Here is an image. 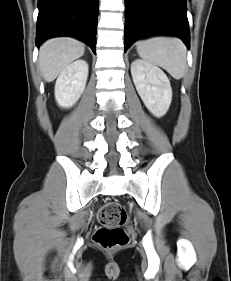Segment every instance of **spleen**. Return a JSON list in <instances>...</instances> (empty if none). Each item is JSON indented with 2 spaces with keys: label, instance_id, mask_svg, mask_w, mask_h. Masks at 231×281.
I'll return each instance as SVG.
<instances>
[{
  "label": "spleen",
  "instance_id": "1",
  "mask_svg": "<svg viewBox=\"0 0 231 281\" xmlns=\"http://www.w3.org/2000/svg\"><path fill=\"white\" fill-rule=\"evenodd\" d=\"M139 56L165 69L173 78L181 79L186 71V47L177 38L154 37L136 43Z\"/></svg>",
  "mask_w": 231,
  "mask_h": 281
}]
</instances>
